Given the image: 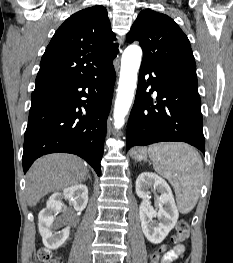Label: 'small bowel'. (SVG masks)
<instances>
[{
    "instance_id": "obj_1",
    "label": "small bowel",
    "mask_w": 233,
    "mask_h": 263,
    "mask_svg": "<svg viewBox=\"0 0 233 263\" xmlns=\"http://www.w3.org/2000/svg\"><path fill=\"white\" fill-rule=\"evenodd\" d=\"M185 252L184 245H177L171 248L165 255L163 256L161 263H173L178 259L182 258Z\"/></svg>"
}]
</instances>
